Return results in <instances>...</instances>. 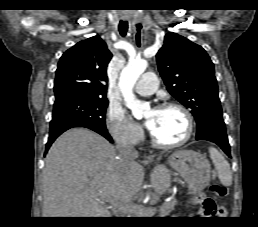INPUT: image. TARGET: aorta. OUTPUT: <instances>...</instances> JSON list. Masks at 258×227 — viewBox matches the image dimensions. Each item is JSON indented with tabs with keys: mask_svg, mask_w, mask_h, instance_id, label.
I'll use <instances>...</instances> for the list:
<instances>
[{
	"mask_svg": "<svg viewBox=\"0 0 258 227\" xmlns=\"http://www.w3.org/2000/svg\"><path fill=\"white\" fill-rule=\"evenodd\" d=\"M146 68L147 62L145 60H131L123 68L119 77V88L122 92L125 105L136 118L141 117L148 107L147 103L138 100L133 93V88L137 80Z\"/></svg>",
	"mask_w": 258,
	"mask_h": 227,
	"instance_id": "762f6f07",
	"label": "aorta"
}]
</instances>
